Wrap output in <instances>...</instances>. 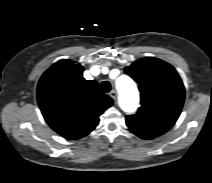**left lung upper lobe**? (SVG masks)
Masks as SVG:
<instances>
[{
	"label": "left lung upper lobe",
	"instance_id": "left-lung-upper-lobe-1",
	"mask_svg": "<svg viewBox=\"0 0 212 183\" xmlns=\"http://www.w3.org/2000/svg\"><path fill=\"white\" fill-rule=\"evenodd\" d=\"M125 73L141 92V107L126 116L129 130L142 138L162 135L175 124L183 106L185 90L180 76L170 64L153 57L136 61Z\"/></svg>",
	"mask_w": 212,
	"mask_h": 183
}]
</instances>
